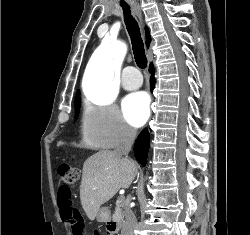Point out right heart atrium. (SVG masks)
I'll return each instance as SVG.
<instances>
[{"label":"right heart atrium","mask_w":250,"mask_h":235,"mask_svg":"<svg viewBox=\"0 0 250 235\" xmlns=\"http://www.w3.org/2000/svg\"><path fill=\"white\" fill-rule=\"evenodd\" d=\"M80 133L86 144L107 149L130 144L136 138V130L125 121L113 104L87 103Z\"/></svg>","instance_id":"obj_1"}]
</instances>
